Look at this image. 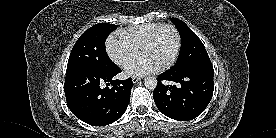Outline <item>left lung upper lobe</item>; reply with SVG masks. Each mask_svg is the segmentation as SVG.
Masks as SVG:
<instances>
[{"label": "left lung upper lobe", "instance_id": "left-lung-upper-lobe-1", "mask_svg": "<svg viewBox=\"0 0 276 138\" xmlns=\"http://www.w3.org/2000/svg\"><path fill=\"white\" fill-rule=\"evenodd\" d=\"M171 20L179 31L182 44L178 60L170 70L184 72L211 67L212 63L199 37L182 20L176 18Z\"/></svg>", "mask_w": 276, "mask_h": 138}]
</instances>
